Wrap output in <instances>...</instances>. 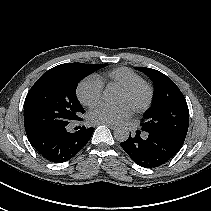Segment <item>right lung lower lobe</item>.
<instances>
[{"label":"right lung lower lobe","instance_id":"98d812e1","mask_svg":"<svg viewBox=\"0 0 211 211\" xmlns=\"http://www.w3.org/2000/svg\"><path fill=\"white\" fill-rule=\"evenodd\" d=\"M68 125L26 131L34 149L46 160L61 163L74 157L89 141L94 128L80 127L74 133L67 131Z\"/></svg>","mask_w":211,"mask_h":211}]
</instances>
